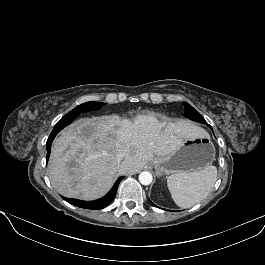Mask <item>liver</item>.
I'll return each mask as SVG.
<instances>
[{"label": "liver", "instance_id": "obj_1", "mask_svg": "<svg viewBox=\"0 0 265 265\" xmlns=\"http://www.w3.org/2000/svg\"><path fill=\"white\" fill-rule=\"evenodd\" d=\"M204 133L187 121H160L154 114H139L133 121L118 115L82 118L54 140L49 179L65 197L96 200L110 190L117 173L134 174L154 155H169L181 139ZM119 154L124 156L120 167Z\"/></svg>", "mask_w": 265, "mask_h": 265}]
</instances>
